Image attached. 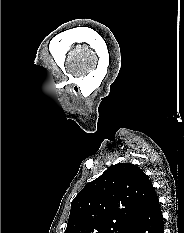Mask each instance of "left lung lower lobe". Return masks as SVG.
Instances as JSON below:
<instances>
[{"label": "left lung lower lobe", "mask_w": 184, "mask_h": 233, "mask_svg": "<svg viewBox=\"0 0 184 233\" xmlns=\"http://www.w3.org/2000/svg\"><path fill=\"white\" fill-rule=\"evenodd\" d=\"M130 233H164L163 215L155 190Z\"/></svg>", "instance_id": "0a47b994"}]
</instances>
